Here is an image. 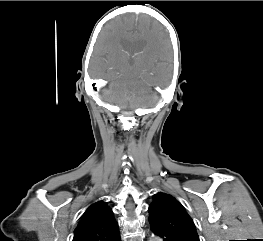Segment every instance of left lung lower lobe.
I'll use <instances>...</instances> for the list:
<instances>
[{
  "label": "left lung lower lobe",
  "instance_id": "obj_1",
  "mask_svg": "<svg viewBox=\"0 0 263 241\" xmlns=\"http://www.w3.org/2000/svg\"><path fill=\"white\" fill-rule=\"evenodd\" d=\"M151 230L154 234L160 236L163 241H184L182 238L174 235L173 233L163 229L162 227L150 223Z\"/></svg>",
  "mask_w": 263,
  "mask_h": 241
}]
</instances>
